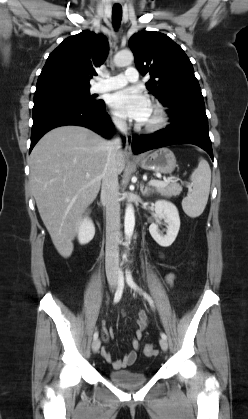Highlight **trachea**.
I'll use <instances>...</instances> for the list:
<instances>
[{"instance_id": "obj_1", "label": "trachea", "mask_w": 248, "mask_h": 419, "mask_svg": "<svg viewBox=\"0 0 248 419\" xmlns=\"http://www.w3.org/2000/svg\"><path fill=\"white\" fill-rule=\"evenodd\" d=\"M122 19V7L114 5L112 8V20L115 27H118Z\"/></svg>"}]
</instances>
